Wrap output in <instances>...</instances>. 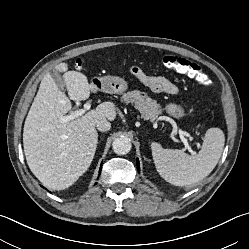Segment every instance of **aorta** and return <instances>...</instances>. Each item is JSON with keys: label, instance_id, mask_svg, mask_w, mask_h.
Listing matches in <instances>:
<instances>
[{"label": "aorta", "instance_id": "762f6f07", "mask_svg": "<svg viewBox=\"0 0 249 249\" xmlns=\"http://www.w3.org/2000/svg\"><path fill=\"white\" fill-rule=\"evenodd\" d=\"M132 144L127 137H118L112 143L113 151L118 155L128 154L131 150Z\"/></svg>", "mask_w": 249, "mask_h": 249}]
</instances>
